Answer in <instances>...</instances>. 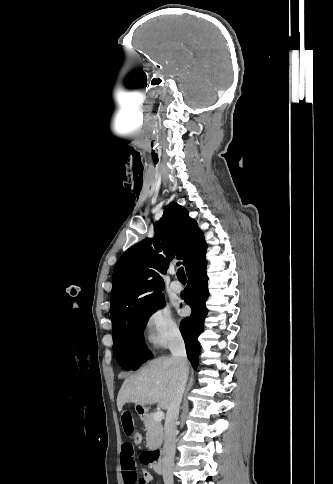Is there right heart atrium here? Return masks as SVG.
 Segmentation results:
<instances>
[{
    "label": "right heart atrium",
    "instance_id": "right-heart-atrium-1",
    "mask_svg": "<svg viewBox=\"0 0 333 484\" xmlns=\"http://www.w3.org/2000/svg\"><path fill=\"white\" fill-rule=\"evenodd\" d=\"M145 329L148 342L155 347H165L179 336L178 324L167 305H159L150 311Z\"/></svg>",
    "mask_w": 333,
    "mask_h": 484
}]
</instances>
